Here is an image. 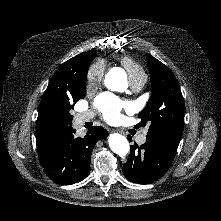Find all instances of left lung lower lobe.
Here are the masks:
<instances>
[{
    "instance_id": "0a47b994",
    "label": "left lung lower lobe",
    "mask_w": 221,
    "mask_h": 221,
    "mask_svg": "<svg viewBox=\"0 0 221 221\" xmlns=\"http://www.w3.org/2000/svg\"><path fill=\"white\" fill-rule=\"evenodd\" d=\"M140 147L131 146L130 158L123 166V174L134 183L148 184L161 178L176 155L181 137L175 135L146 136Z\"/></svg>"
}]
</instances>
